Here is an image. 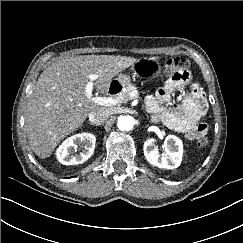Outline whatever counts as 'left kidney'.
<instances>
[{"label": "left kidney", "mask_w": 243, "mask_h": 243, "mask_svg": "<svg viewBox=\"0 0 243 243\" xmlns=\"http://www.w3.org/2000/svg\"><path fill=\"white\" fill-rule=\"evenodd\" d=\"M143 151L151 165L162 169H175L182 161L183 144L178 137L168 135L164 141V154L160 155L155 146V139L149 138L144 142Z\"/></svg>", "instance_id": "5707ae66"}]
</instances>
